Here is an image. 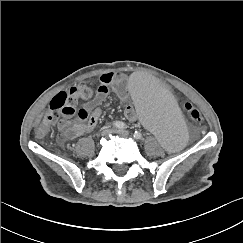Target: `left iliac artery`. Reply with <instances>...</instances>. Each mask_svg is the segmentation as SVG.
Wrapping results in <instances>:
<instances>
[{
  "label": "left iliac artery",
  "mask_w": 243,
  "mask_h": 243,
  "mask_svg": "<svg viewBox=\"0 0 243 243\" xmlns=\"http://www.w3.org/2000/svg\"><path fill=\"white\" fill-rule=\"evenodd\" d=\"M134 137H135L136 139H140V138L142 137V134H141L140 132H138V131H135V133H134Z\"/></svg>",
  "instance_id": "1"
}]
</instances>
